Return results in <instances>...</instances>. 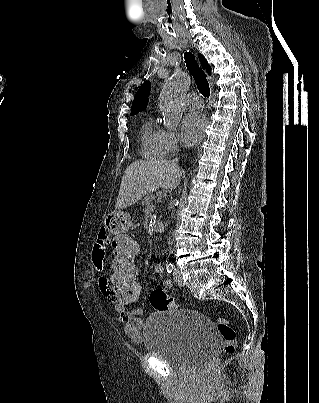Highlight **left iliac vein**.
<instances>
[{"label": "left iliac vein", "instance_id": "obj_1", "mask_svg": "<svg viewBox=\"0 0 319 403\" xmlns=\"http://www.w3.org/2000/svg\"><path fill=\"white\" fill-rule=\"evenodd\" d=\"M173 275H174V280H175V282H176L179 286H184V285H185V284H184V281H183V279H182V275H181L180 269H179L178 267H175V268H174Z\"/></svg>", "mask_w": 319, "mask_h": 403}]
</instances>
